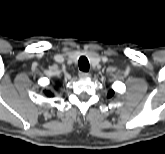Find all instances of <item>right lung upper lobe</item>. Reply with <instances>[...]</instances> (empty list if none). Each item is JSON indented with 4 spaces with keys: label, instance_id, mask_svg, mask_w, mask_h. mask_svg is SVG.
I'll return each mask as SVG.
<instances>
[{
    "label": "right lung upper lobe",
    "instance_id": "obj_1",
    "mask_svg": "<svg viewBox=\"0 0 165 154\" xmlns=\"http://www.w3.org/2000/svg\"><path fill=\"white\" fill-rule=\"evenodd\" d=\"M45 94L49 97L52 96V93H50L49 91H45Z\"/></svg>",
    "mask_w": 165,
    "mask_h": 154
}]
</instances>
